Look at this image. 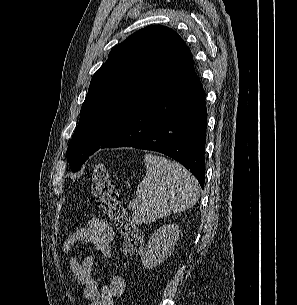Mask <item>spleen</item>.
<instances>
[{
  "label": "spleen",
  "mask_w": 297,
  "mask_h": 305,
  "mask_svg": "<svg viewBox=\"0 0 297 305\" xmlns=\"http://www.w3.org/2000/svg\"><path fill=\"white\" fill-rule=\"evenodd\" d=\"M144 162L146 175L136 190L142 202L133 212L134 223L154 222L189 209L198 201L197 180L178 162L152 154H146Z\"/></svg>",
  "instance_id": "spleen-1"
}]
</instances>
